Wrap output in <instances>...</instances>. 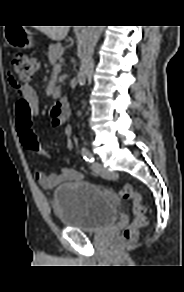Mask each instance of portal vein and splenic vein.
<instances>
[{
	"instance_id": "obj_1",
	"label": "portal vein and splenic vein",
	"mask_w": 184,
	"mask_h": 292,
	"mask_svg": "<svg viewBox=\"0 0 184 292\" xmlns=\"http://www.w3.org/2000/svg\"><path fill=\"white\" fill-rule=\"evenodd\" d=\"M61 68H62L61 64H58V65H56V66L54 67V69H55L56 71H60Z\"/></svg>"
}]
</instances>
